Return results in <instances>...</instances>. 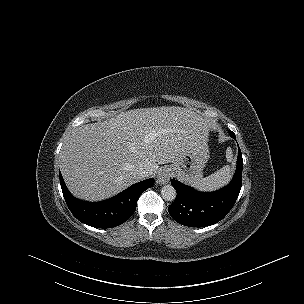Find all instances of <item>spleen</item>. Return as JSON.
I'll list each match as a JSON object with an SVG mask.
<instances>
[{"label": "spleen", "instance_id": "1", "mask_svg": "<svg viewBox=\"0 0 304 304\" xmlns=\"http://www.w3.org/2000/svg\"><path fill=\"white\" fill-rule=\"evenodd\" d=\"M226 158L229 162L233 160V154L231 150L226 153ZM232 177V168L230 166H224L217 172L209 175L208 177L201 178L195 185V187L202 191H214L228 184Z\"/></svg>", "mask_w": 304, "mask_h": 304}]
</instances>
